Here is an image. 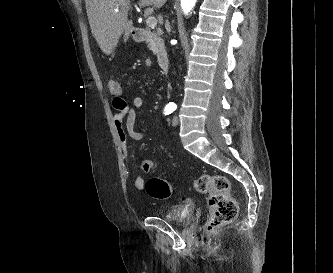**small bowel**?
Returning <instances> with one entry per match:
<instances>
[{
  "label": "small bowel",
  "instance_id": "1",
  "mask_svg": "<svg viewBox=\"0 0 333 273\" xmlns=\"http://www.w3.org/2000/svg\"><path fill=\"white\" fill-rule=\"evenodd\" d=\"M146 68H151V63H146ZM111 102L114 103V107L116 108L113 117V125L123 153L128 157V140L139 141L144 136L143 131L139 128L137 123L138 112L144 105V99L141 96H136L130 107H127V102L124 101L123 96H112ZM134 187L138 190H142L145 187V181L142 176L135 177Z\"/></svg>",
  "mask_w": 333,
  "mask_h": 273
}]
</instances>
